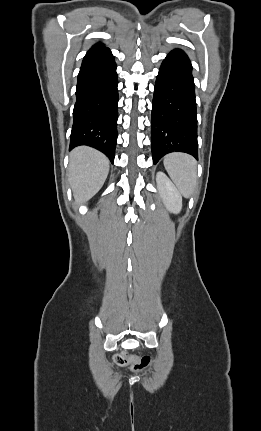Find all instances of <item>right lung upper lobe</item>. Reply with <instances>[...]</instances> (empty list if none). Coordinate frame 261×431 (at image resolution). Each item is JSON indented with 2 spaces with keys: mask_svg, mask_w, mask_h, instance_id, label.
<instances>
[{
  "mask_svg": "<svg viewBox=\"0 0 261 431\" xmlns=\"http://www.w3.org/2000/svg\"><path fill=\"white\" fill-rule=\"evenodd\" d=\"M99 46H103V44L102 43L95 44V47H99Z\"/></svg>",
  "mask_w": 261,
  "mask_h": 431,
  "instance_id": "right-lung-upper-lobe-1",
  "label": "right lung upper lobe"
}]
</instances>
